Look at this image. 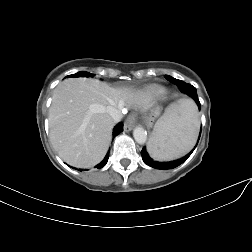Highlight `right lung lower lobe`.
Returning <instances> with one entry per match:
<instances>
[{"label": "right lung lower lobe", "instance_id": "right-lung-lower-lobe-1", "mask_svg": "<svg viewBox=\"0 0 252 252\" xmlns=\"http://www.w3.org/2000/svg\"><path fill=\"white\" fill-rule=\"evenodd\" d=\"M122 130H123V124L120 122L113 129V138L116 135H118L120 132H122ZM108 158H109V152L105 156L104 160L101 163H99L98 165H96L95 167L98 168V169L102 168L107 163ZM78 170L82 171V169H78Z\"/></svg>", "mask_w": 252, "mask_h": 252}]
</instances>
